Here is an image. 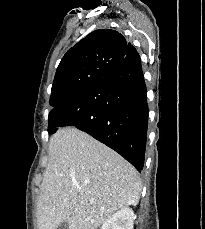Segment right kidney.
Returning <instances> with one entry per match:
<instances>
[{"label": "right kidney", "mask_w": 205, "mask_h": 229, "mask_svg": "<svg viewBox=\"0 0 205 229\" xmlns=\"http://www.w3.org/2000/svg\"><path fill=\"white\" fill-rule=\"evenodd\" d=\"M133 221V210L125 207L109 217L101 229H133Z\"/></svg>", "instance_id": "ca27d5eb"}]
</instances>
